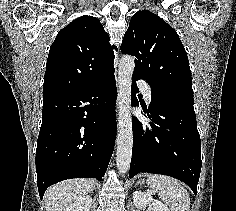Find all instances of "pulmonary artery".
Listing matches in <instances>:
<instances>
[{"label":"pulmonary artery","instance_id":"e3ab8cb5","mask_svg":"<svg viewBox=\"0 0 236 211\" xmlns=\"http://www.w3.org/2000/svg\"><path fill=\"white\" fill-rule=\"evenodd\" d=\"M141 92L144 95L145 100L150 103L152 100L151 88L148 83L144 81H138Z\"/></svg>","mask_w":236,"mask_h":211}]
</instances>
